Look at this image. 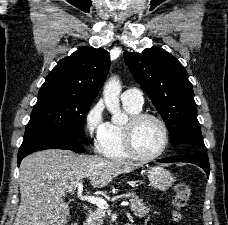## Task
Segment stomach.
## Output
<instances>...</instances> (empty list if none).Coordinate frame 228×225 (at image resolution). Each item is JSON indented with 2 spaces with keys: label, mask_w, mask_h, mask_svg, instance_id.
<instances>
[{
  "label": "stomach",
  "mask_w": 228,
  "mask_h": 225,
  "mask_svg": "<svg viewBox=\"0 0 228 225\" xmlns=\"http://www.w3.org/2000/svg\"><path fill=\"white\" fill-rule=\"evenodd\" d=\"M148 179L151 187L158 191H167L174 183V177L163 167H151L148 171Z\"/></svg>",
  "instance_id": "0dacf381"
}]
</instances>
